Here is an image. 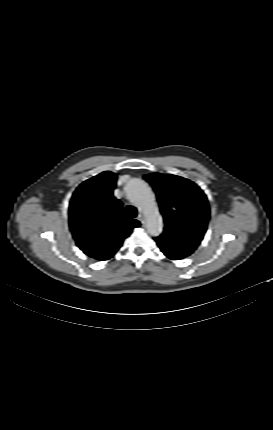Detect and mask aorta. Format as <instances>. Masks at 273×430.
Segmentation results:
<instances>
[{"label": "aorta", "mask_w": 273, "mask_h": 430, "mask_svg": "<svg viewBox=\"0 0 273 430\" xmlns=\"http://www.w3.org/2000/svg\"><path fill=\"white\" fill-rule=\"evenodd\" d=\"M126 193L129 200L145 215L149 234L160 235L163 230V219L155 205L149 185L141 179L134 178L127 184Z\"/></svg>", "instance_id": "762f6f07"}]
</instances>
